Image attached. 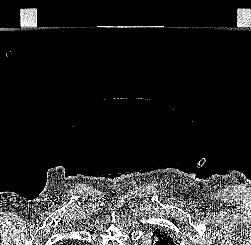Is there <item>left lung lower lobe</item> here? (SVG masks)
Segmentation results:
<instances>
[{
    "label": "left lung lower lobe",
    "mask_w": 251,
    "mask_h": 245,
    "mask_svg": "<svg viewBox=\"0 0 251 245\" xmlns=\"http://www.w3.org/2000/svg\"><path fill=\"white\" fill-rule=\"evenodd\" d=\"M152 240L155 245H175L173 238L164 230L156 229Z\"/></svg>",
    "instance_id": "left-lung-lower-lobe-1"
}]
</instances>
